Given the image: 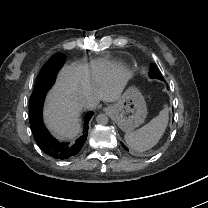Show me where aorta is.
Segmentation results:
<instances>
[{
	"mask_svg": "<svg viewBox=\"0 0 208 208\" xmlns=\"http://www.w3.org/2000/svg\"><path fill=\"white\" fill-rule=\"evenodd\" d=\"M96 121L98 124L100 125H105L108 123V116L106 114H99L97 117H96Z\"/></svg>",
	"mask_w": 208,
	"mask_h": 208,
	"instance_id": "aorta-1",
	"label": "aorta"
}]
</instances>
